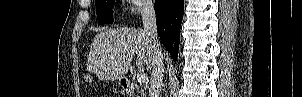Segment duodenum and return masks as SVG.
Returning a JSON list of instances; mask_svg holds the SVG:
<instances>
[{
  "label": "duodenum",
  "instance_id": "duodenum-1",
  "mask_svg": "<svg viewBox=\"0 0 302 97\" xmlns=\"http://www.w3.org/2000/svg\"><path fill=\"white\" fill-rule=\"evenodd\" d=\"M121 85L123 87V89L130 95L133 94V87L131 85V83L127 80V79H122L121 80Z\"/></svg>",
  "mask_w": 302,
  "mask_h": 97
}]
</instances>
